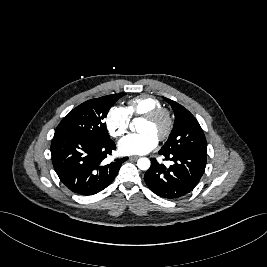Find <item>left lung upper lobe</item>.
<instances>
[{
	"instance_id": "1",
	"label": "left lung upper lobe",
	"mask_w": 267,
	"mask_h": 267,
	"mask_svg": "<svg viewBox=\"0 0 267 267\" xmlns=\"http://www.w3.org/2000/svg\"><path fill=\"white\" fill-rule=\"evenodd\" d=\"M175 114L173 130L159 152H195L207 155L206 138L196 118L177 102L164 98Z\"/></svg>"
}]
</instances>
